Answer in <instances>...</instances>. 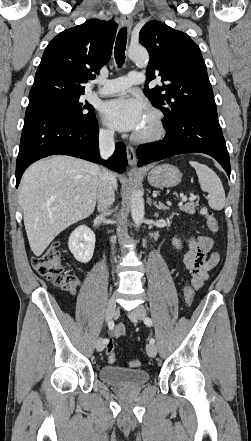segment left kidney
Returning a JSON list of instances; mask_svg holds the SVG:
<instances>
[{"label":"left kidney","instance_id":"5707ae66","mask_svg":"<svg viewBox=\"0 0 251 441\" xmlns=\"http://www.w3.org/2000/svg\"><path fill=\"white\" fill-rule=\"evenodd\" d=\"M172 244H173L176 248H180V246H181V242H180V240L177 239V238H173V240H172Z\"/></svg>","mask_w":251,"mask_h":441}]
</instances>
